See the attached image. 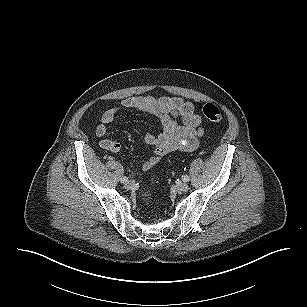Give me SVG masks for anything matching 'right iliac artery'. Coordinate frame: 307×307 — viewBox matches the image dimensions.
Masks as SVG:
<instances>
[{
	"mask_svg": "<svg viewBox=\"0 0 307 307\" xmlns=\"http://www.w3.org/2000/svg\"><path fill=\"white\" fill-rule=\"evenodd\" d=\"M120 181H121L122 183H127V182H128V177L124 176V177H122V178L120 179Z\"/></svg>",
	"mask_w": 307,
	"mask_h": 307,
	"instance_id": "right-iliac-artery-1",
	"label": "right iliac artery"
}]
</instances>
